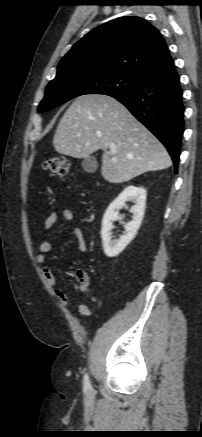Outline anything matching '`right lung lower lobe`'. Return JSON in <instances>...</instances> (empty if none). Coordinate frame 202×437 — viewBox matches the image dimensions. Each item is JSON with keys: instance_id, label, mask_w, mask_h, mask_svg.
<instances>
[{"instance_id": "98d812e1", "label": "right lung lower lobe", "mask_w": 202, "mask_h": 437, "mask_svg": "<svg viewBox=\"0 0 202 437\" xmlns=\"http://www.w3.org/2000/svg\"><path fill=\"white\" fill-rule=\"evenodd\" d=\"M111 96L127 107L163 143L177 170L185 107L174 62L148 76L134 91Z\"/></svg>"}]
</instances>
